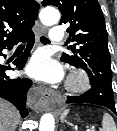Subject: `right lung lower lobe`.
I'll list each match as a JSON object with an SVG mask.
<instances>
[{
	"instance_id": "right-lung-lower-lobe-1",
	"label": "right lung lower lobe",
	"mask_w": 117,
	"mask_h": 131,
	"mask_svg": "<svg viewBox=\"0 0 117 131\" xmlns=\"http://www.w3.org/2000/svg\"><path fill=\"white\" fill-rule=\"evenodd\" d=\"M20 41L28 42V45L25 52L13 62L15 67L19 70L23 69L30 50L32 49L34 33L32 32ZM17 43L7 46V48L12 49ZM3 49L0 50V55H3ZM7 70H14V68L10 67V65L6 66L0 64V97L10 101L16 106L22 117H26L28 115L26 108L27 91L31 87L32 81L28 78H11L6 75L5 71Z\"/></svg>"
}]
</instances>
